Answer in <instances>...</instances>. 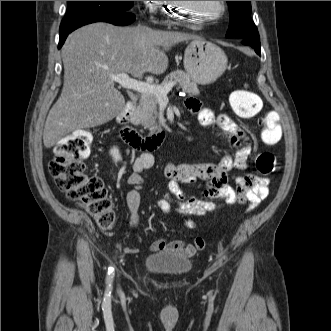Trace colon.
Masks as SVG:
<instances>
[{"label": "colon", "instance_id": "obj_1", "mask_svg": "<svg viewBox=\"0 0 331 331\" xmlns=\"http://www.w3.org/2000/svg\"><path fill=\"white\" fill-rule=\"evenodd\" d=\"M230 105L236 116L243 119L253 118L262 109L261 98L249 90H237L230 96ZM262 141L275 145L281 139V123L277 113L270 112L263 119ZM91 134L75 131L62 138L56 145L54 157L49 164V172L56 186L67 198L85 208L94 217L101 229H110L115 220L112 202L101 178L86 173L84 160L90 153ZM276 167L273 153L265 151L255 160L256 170L267 175ZM197 249L206 245L204 238L197 236L193 240Z\"/></svg>", "mask_w": 331, "mask_h": 331}]
</instances>
